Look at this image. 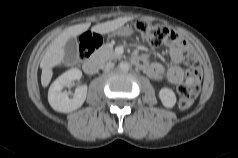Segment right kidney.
<instances>
[{
	"label": "right kidney",
	"instance_id": "right-kidney-1",
	"mask_svg": "<svg viewBox=\"0 0 238 158\" xmlns=\"http://www.w3.org/2000/svg\"><path fill=\"white\" fill-rule=\"evenodd\" d=\"M81 76V70L73 68L63 73L52 83L48 92V101L55 111L70 113L83 105L87 96L86 85L79 86L73 97H69L68 92L62 91L65 86L74 80H79Z\"/></svg>",
	"mask_w": 238,
	"mask_h": 158
}]
</instances>
